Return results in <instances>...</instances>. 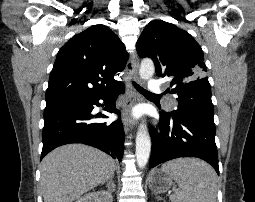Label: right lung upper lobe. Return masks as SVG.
I'll list each match as a JSON object with an SVG mask.
<instances>
[{
    "instance_id": "right-lung-upper-lobe-1",
    "label": "right lung upper lobe",
    "mask_w": 255,
    "mask_h": 202,
    "mask_svg": "<svg viewBox=\"0 0 255 202\" xmlns=\"http://www.w3.org/2000/svg\"><path fill=\"white\" fill-rule=\"evenodd\" d=\"M128 53L105 25H93L71 38L58 52L46 92V108L94 97L115 89L114 75Z\"/></svg>"
}]
</instances>
